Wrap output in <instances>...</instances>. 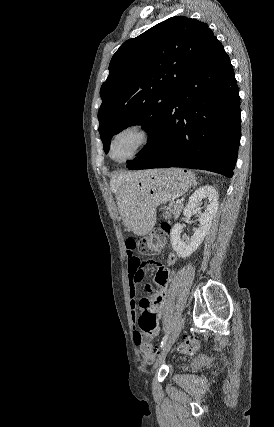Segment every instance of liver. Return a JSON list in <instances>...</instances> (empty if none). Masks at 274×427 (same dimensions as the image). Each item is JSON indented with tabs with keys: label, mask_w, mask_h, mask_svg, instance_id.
Wrapping results in <instances>:
<instances>
[{
	"label": "liver",
	"mask_w": 274,
	"mask_h": 427,
	"mask_svg": "<svg viewBox=\"0 0 274 427\" xmlns=\"http://www.w3.org/2000/svg\"><path fill=\"white\" fill-rule=\"evenodd\" d=\"M153 170H147V172H135V174H130V172H120L111 178L110 188L115 194L118 202V208L121 206V202L125 200L126 190H133L131 182H133L134 176L137 178H142L144 174H149Z\"/></svg>",
	"instance_id": "liver-1"
}]
</instances>
